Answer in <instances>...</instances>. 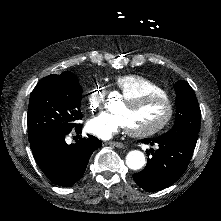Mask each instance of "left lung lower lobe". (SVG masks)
I'll return each instance as SVG.
<instances>
[{"label":"left lung lower lobe","mask_w":221,"mask_h":221,"mask_svg":"<svg viewBox=\"0 0 221 221\" xmlns=\"http://www.w3.org/2000/svg\"><path fill=\"white\" fill-rule=\"evenodd\" d=\"M143 142L150 145L157 143L159 148L156 151L150 149L152 158H148L146 167L133 178L142 189L155 192L172 185L183 175L197 141L178 132H167Z\"/></svg>","instance_id":"0a47b994"}]
</instances>
